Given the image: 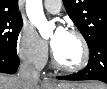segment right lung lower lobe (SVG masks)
Here are the masks:
<instances>
[{"instance_id":"obj_1","label":"right lung lower lobe","mask_w":107,"mask_h":89,"mask_svg":"<svg viewBox=\"0 0 107 89\" xmlns=\"http://www.w3.org/2000/svg\"><path fill=\"white\" fill-rule=\"evenodd\" d=\"M19 63L17 55H10L0 51V72L14 74Z\"/></svg>"}]
</instances>
